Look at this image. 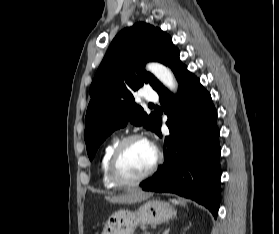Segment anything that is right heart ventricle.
Wrapping results in <instances>:
<instances>
[{"label":"right heart ventricle","instance_id":"right-heart-ventricle-1","mask_svg":"<svg viewBox=\"0 0 279 234\" xmlns=\"http://www.w3.org/2000/svg\"><path fill=\"white\" fill-rule=\"evenodd\" d=\"M118 143V139H114L111 141L104 149L101 161H100V168L102 174V181L105 187L107 188H116L117 186L111 181L108 173V163L110 156L115 148L116 144Z\"/></svg>","mask_w":279,"mask_h":234}]
</instances>
